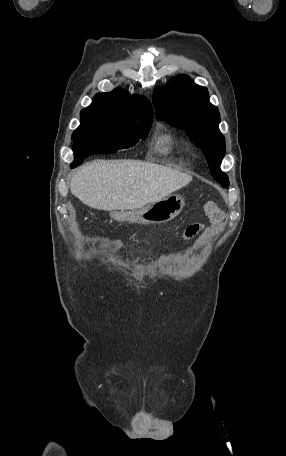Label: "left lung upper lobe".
<instances>
[{
    "label": "left lung upper lobe",
    "instance_id": "obj_1",
    "mask_svg": "<svg viewBox=\"0 0 286 456\" xmlns=\"http://www.w3.org/2000/svg\"><path fill=\"white\" fill-rule=\"evenodd\" d=\"M153 105L157 120L186 130L205 154L213 178L228 187V177L220 170L225 154V138L218 126L220 114L210 103L207 89L193 83L189 76L179 75L165 87L155 89Z\"/></svg>",
    "mask_w": 286,
    "mask_h": 456
}]
</instances>
